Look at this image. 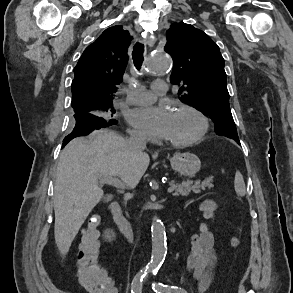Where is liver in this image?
<instances>
[{
    "instance_id": "6515ba94",
    "label": "liver",
    "mask_w": 293,
    "mask_h": 293,
    "mask_svg": "<svg viewBox=\"0 0 293 293\" xmlns=\"http://www.w3.org/2000/svg\"><path fill=\"white\" fill-rule=\"evenodd\" d=\"M146 153L134 152L127 140L108 130H96L88 139L75 138L63 149L54 185V235L65 255L103 190L100 175L138 183L148 168Z\"/></svg>"
}]
</instances>
